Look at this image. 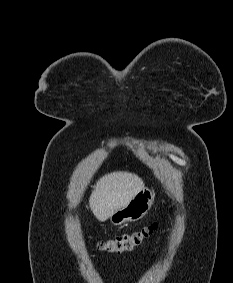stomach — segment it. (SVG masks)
I'll use <instances>...</instances> for the list:
<instances>
[{"label": "stomach", "instance_id": "stomach-1", "mask_svg": "<svg viewBox=\"0 0 233 283\" xmlns=\"http://www.w3.org/2000/svg\"><path fill=\"white\" fill-rule=\"evenodd\" d=\"M154 202L150 189L144 188L138 192L126 206L116 210L109 218L114 225L140 220L147 214Z\"/></svg>", "mask_w": 233, "mask_h": 283}]
</instances>
